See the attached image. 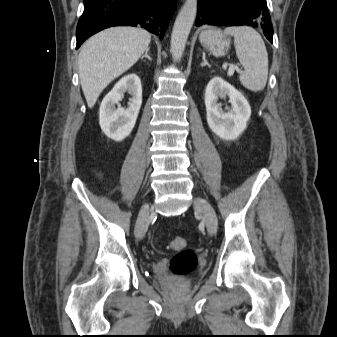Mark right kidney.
I'll list each match as a JSON object with an SVG mask.
<instances>
[{
	"mask_svg": "<svg viewBox=\"0 0 337 337\" xmlns=\"http://www.w3.org/2000/svg\"><path fill=\"white\" fill-rule=\"evenodd\" d=\"M128 92L132 98L127 109L115 104ZM142 104V86L136 74H129L120 79L113 89L104 97L99 111V124L107 137L122 141L133 130Z\"/></svg>",
	"mask_w": 337,
	"mask_h": 337,
	"instance_id": "ca27d5eb",
	"label": "right kidney"
}]
</instances>
